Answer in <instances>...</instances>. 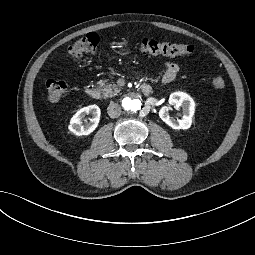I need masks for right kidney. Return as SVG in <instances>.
Instances as JSON below:
<instances>
[{
	"label": "right kidney",
	"mask_w": 255,
	"mask_h": 255,
	"mask_svg": "<svg viewBox=\"0 0 255 255\" xmlns=\"http://www.w3.org/2000/svg\"><path fill=\"white\" fill-rule=\"evenodd\" d=\"M93 114L94 117L91 118V123H86L85 125H80L82 119L85 115ZM101 111L96 105H90L84 107L77 111L73 117L70 119L68 129L76 136L89 135L91 134L100 123Z\"/></svg>",
	"instance_id": "right-kidney-1"
}]
</instances>
